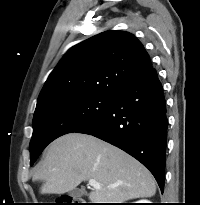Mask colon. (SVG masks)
Here are the masks:
<instances>
[{"label":"colon","instance_id":"colon-1","mask_svg":"<svg viewBox=\"0 0 200 205\" xmlns=\"http://www.w3.org/2000/svg\"><path fill=\"white\" fill-rule=\"evenodd\" d=\"M52 205H84V203L81 198L63 196L56 203Z\"/></svg>","mask_w":200,"mask_h":205}]
</instances>
